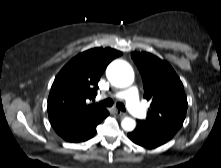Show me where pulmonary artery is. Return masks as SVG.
I'll list each match as a JSON object with an SVG mask.
<instances>
[{
    "mask_svg": "<svg viewBox=\"0 0 221 168\" xmlns=\"http://www.w3.org/2000/svg\"><path fill=\"white\" fill-rule=\"evenodd\" d=\"M113 96L118 99H125L127 108L135 117H146V110L139 102L138 90L136 87H130L127 90L117 92Z\"/></svg>",
    "mask_w": 221,
    "mask_h": 168,
    "instance_id": "e3ab8cb5",
    "label": "pulmonary artery"
}]
</instances>
